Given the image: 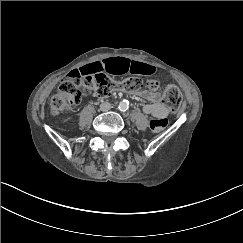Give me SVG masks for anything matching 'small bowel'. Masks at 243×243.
<instances>
[{"label": "small bowel", "mask_w": 243, "mask_h": 243, "mask_svg": "<svg viewBox=\"0 0 243 243\" xmlns=\"http://www.w3.org/2000/svg\"><path fill=\"white\" fill-rule=\"evenodd\" d=\"M79 71L84 73L107 72L113 75L125 73L151 75L155 73L156 68L147 63L130 60L124 57H117L89 63L81 67ZM141 95L150 101L149 104H146L143 107V111L145 113L156 118H165L171 113V111L160 102V98L157 93L143 91Z\"/></svg>", "instance_id": "1"}]
</instances>
